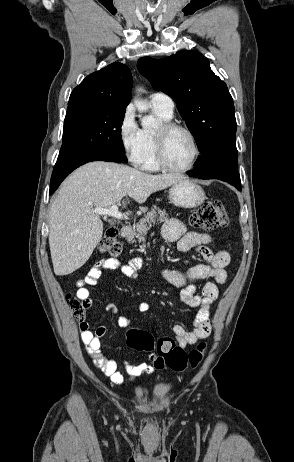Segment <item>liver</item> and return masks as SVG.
Listing matches in <instances>:
<instances>
[{"instance_id": "1", "label": "liver", "mask_w": 294, "mask_h": 462, "mask_svg": "<svg viewBox=\"0 0 294 462\" xmlns=\"http://www.w3.org/2000/svg\"><path fill=\"white\" fill-rule=\"evenodd\" d=\"M185 178L177 173L152 175L103 161L76 169L62 183L50 208L49 245L54 273L71 274L90 258L103 234V222L95 208H110L127 194L142 204L152 193Z\"/></svg>"}]
</instances>
